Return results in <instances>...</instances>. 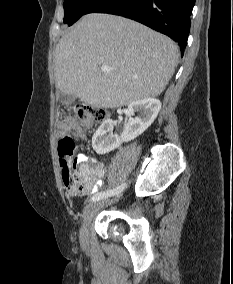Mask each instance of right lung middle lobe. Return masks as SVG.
<instances>
[{"instance_id": "obj_1", "label": "right lung middle lobe", "mask_w": 233, "mask_h": 284, "mask_svg": "<svg viewBox=\"0 0 233 284\" xmlns=\"http://www.w3.org/2000/svg\"><path fill=\"white\" fill-rule=\"evenodd\" d=\"M108 0H65L64 23L69 26L75 23L81 16L93 12Z\"/></svg>"}]
</instances>
